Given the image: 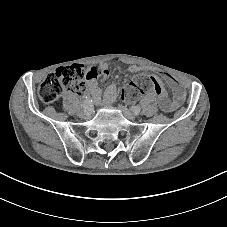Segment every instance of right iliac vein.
<instances>
[{
  "mask_svg": "<svg viewBox=\"0 0 227 227\" xmlns=\"http://www.w3.org/2000/svg\"><path fill=\"white\" fill-rule=\"evenodd\" d=\"M78 116L84 117V116H87V113L85 111H80V112H78Z\"/></svg>",
  "mask_w": 227,
  "mask_h": 227,
  "instance_id": "63e3f726",
  "label": "right iliac vein"
}]
</instances>
